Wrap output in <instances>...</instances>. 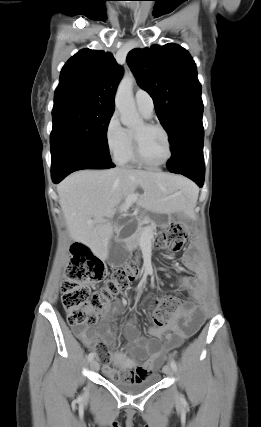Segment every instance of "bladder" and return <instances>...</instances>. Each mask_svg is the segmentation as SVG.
<instances>
[{
    "label": "bladder",
    "mask_w": 261,
    "mask_h": 427,
    "mask_svg": "<svg viewBox=\"0 0 261 427\" xmlns=\"http://www.w3.org/2000/svg\"><path fill=\"white\" fill-rule=\"evenodd\" d=\"M117 371L120 373L119 376H108L109 381L119 390L129 394L144 391L155 385L160 379L159 373H152L141 379H133L128 374L127 368L122 364L117 365Z\"/></svg>",
    "instance_id": "1"
}]
</instances>
